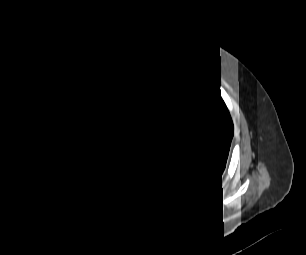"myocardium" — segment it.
Returning <instances> with one entry per match:
<instances>
[{
	"mask_svg": "<svg viewBox=\"0 0 306 255\" xmlns=\"http://www.w3.org/2000/svg\"><path fill=\"white\" fill-rule=\"evenodd\" d=\"M181 85L184 87L187 93V102H186V107L184 114L182 118L180 119L179 123L185 124L190 117L192 116L195 105H196V99H197V91L195 86L190 82V81H183Z\"/></svg>",
	"mask_w": 306,
	"mask_h": 255,
	"instance_id": "myocardium-1",
	"label": "myocardium"
}]
</instances>
